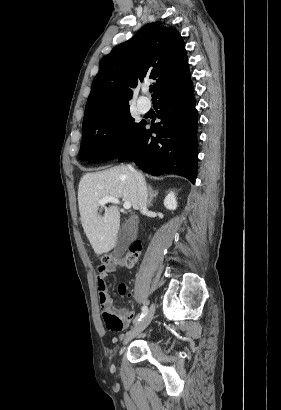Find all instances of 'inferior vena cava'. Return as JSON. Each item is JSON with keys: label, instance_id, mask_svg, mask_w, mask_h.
Returning a JSON list of instances; mask_svg holds the SVG:
<instances>
[{"label": "inferior vena cava", "instance_id": "1", "mask_svg": "<svg viewBox=\"0 0 281 410\" xmlns=\"http://www.w3.org/2000/svg\"><path fill=\"white\" fill-rule=\"evenodd\" d=\"M130 171L132 172L135 182L137 185V197H138V204L139 210L142 214L147 213V204H148V193L145 180L143 176L137 172L131 165L128 166Z\"/></svg>", "mask_w": 281, "mask_h": 410}]
</instances>
